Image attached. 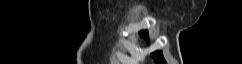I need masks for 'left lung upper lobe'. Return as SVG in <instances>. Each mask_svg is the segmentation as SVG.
Returning a JSON list of instances; mask_svg holds the SVG:
<instances>
[{
  "label": "left lung upper lobe",
  "instance_id": "obj_1",
  "mask_svg": "<svg viewBox=\"0 0 242 64\" xmlns=\"http://www.w3.org/2000/svg\"><path fill=\"white\" fill-rule=\"evenodd\" d=\"M140 35L147 39L148 33L147 31H141ZM151 56L154 58V61L156 64H166V61L163 58V54L161 51H155L151 54Z\"/></svg>",
  "mask_w": 242,
  "mask_h": 64
}]
</instances>
